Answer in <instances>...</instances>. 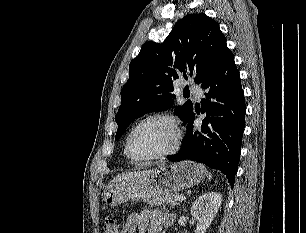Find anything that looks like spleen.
I'll list each match as a JSON object with an SVG mask.
<instances>
[{
	"mask_svg": "<svg viewBox=\"0 0 306 233\" xmlns=\"http://www.w3.org/2000/svg\"><path fill=\"white\" fill-rule=\"evenodd\" d=\"M212 178V175H209V179H211Z\"/></svg>",
	"mask_w": 306,
	"mask_h": 233,
	"instance_id": "1",
	"label": "spleen"
}]
</instances>
